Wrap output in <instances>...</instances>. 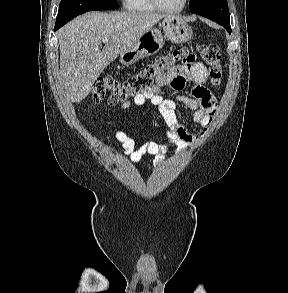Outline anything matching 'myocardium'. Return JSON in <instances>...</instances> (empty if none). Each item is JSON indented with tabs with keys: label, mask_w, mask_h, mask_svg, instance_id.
<instances>
[{
	"label": "myocardium",
	"mask_w": 288,
	"mask_h": 293,
	"mask_svg": "<svg viewBox=\"0 0 288 293\" xmlns=\"http://www.w3.org/2000/svg\"><path fill=\"white\" fill-rule=\"evenodd\" d=\"M151 1L157 10H160V11L166 12V13H172V14L179 13V12L183 11L187 5V2H188V0H183L179 7L167 8V7L163 6L159 0H151Z\"/></svg>",
	"instance_id": "1"
}]
</instances>
